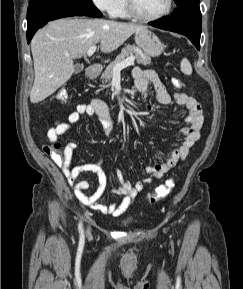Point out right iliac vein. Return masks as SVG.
I'll return each mask as SVG.
<instances>
[{"instance_id": "63e3f726", "label": "right iliac vein", "mask_w": 243, "mask_h": 289, "mask_svg": "<svg viewBox=\"0 0 243 289\" xmlns=\"http://www.w3.org/2000/svg\"><path fill=\"white\" fill-rule=\"evenodd\" d=\"M87 234H88V235L90 234V228H88V230H87Z\"/></svg>"}]
</instances>
